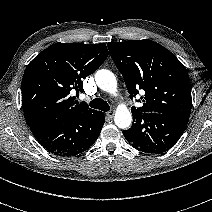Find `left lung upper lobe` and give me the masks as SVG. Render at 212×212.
I'll return each mask as SVG.
<instances>
[{
	"mask_svg": "<svg viewBox=\"0 0 212 212\" xmlns=\"http://www.w3.org/2000/svg\"><path fill=\"white\" fill-rule=\"evenodd\" d=\"M107 45L130 97H135L139 90L145 92L141 97L143 106L131 108L133 115L156 112L190 116V79L186 68L173 53L146 39Z\"/></svg>",
	"mask_w": 212,
	"mask_h": 212,
	"instance_id": "left-lung-upper-lobe-1",
	"label": "left lung upper lobe"
}]
</instances>
